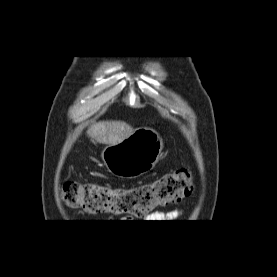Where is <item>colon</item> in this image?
Here are the masks:
<instances>
[{"label":"colon","mask_w":277,"mask_h":277,"mask_svg":"<svg viewBox=\"0 0 277 277\" xmlns=\"http://www.w3.org/2000/svg\"><path fill=\"white\" fill-rule=\"evenodd\" d=\"M192 190L191 172L181 168L155 181L126 188L68 181L63 184L61 195L69 207L90 213L144 216L156 207L182 200Z\"/></svg>","instance_id":"colon-1"}]
</instances>
